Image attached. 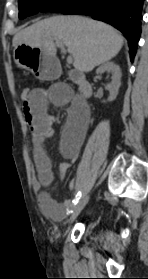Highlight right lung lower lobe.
I'll return each mask as SVG.
<instances>
[{
	"label": "right lung lower lobe",
	"mask_w": 148,
	"mask_h": 279,
	"mask_svg": "<svg viewBox=\"0 0 148 279\" xmlns=\"http://www.w3.org/2000/svg\"><path fill=\"white\" fill-rule=\"evenodd\" d=\"M143 4L144 0H83L61 12L89 15L119 29L128 39L133 61L141 34Z\"/></svg>",
	"instance_id": "right-lung-lower-lobe-1"
}]
</instances>
